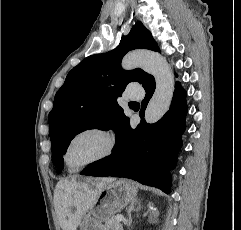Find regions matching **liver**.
<instances>
[{"label":"liver","instance_id":"obj_1","mask_svg":"<svg viewBox=\"0 0 241 230\" xmlns=\"http://www.w3.org/2000/svg\"><path fill=\"white\" fill-rule=\"evenodd\" d=\"M114 178L96 179L90 183L77 184L59 181L54 192V201L63 230H76L85 213L93 207L101 187ZM72 208L75 211L72 212Z\"/></svg>","mask_w":241,"mask_h":230}]
</instances>
